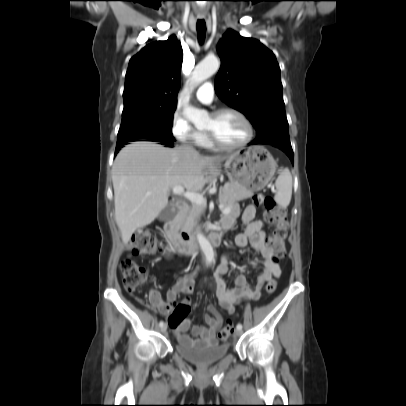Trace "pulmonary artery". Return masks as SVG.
Masks as SVG:
<instances>
[{"label":"pulmonary artery","mask_w":406,"mask_h":406,"mask_svg":"<svg viewBox=\"0 0 406 406\" xmlns=\"http://www.w3.org/2000/svg\"><path fill=\"white\" fill-rule=\"evenodd\" d=\"M196 97L202 103H210L214 97V88L212 83L205 82L202 84L196 92Z\"/></svg>","instance_id":"obj_1"}]
</instances>
